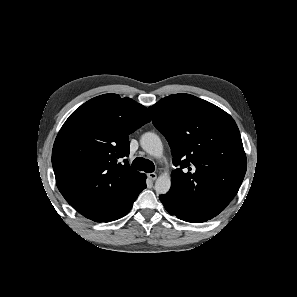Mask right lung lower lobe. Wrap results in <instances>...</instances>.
<instances>
[{"mask_svg": "<svg viewBox=\"0 0 297 297\" xmlns=\"http://www.w3.org/2000/svg\"><path fill=\"white\" fill-rule=\"evenodd\" d=\"M146 188V176L142 174L133 185L130 192L116 206V208L100 222H110L125 216L132 208V205L142 190Z\"/></svg>", "mask_w": 297, "mask_h": 297, "instance_id": "obj_1", "label": "right lung lower lobe"}]
</instances>
